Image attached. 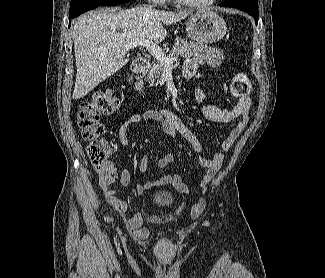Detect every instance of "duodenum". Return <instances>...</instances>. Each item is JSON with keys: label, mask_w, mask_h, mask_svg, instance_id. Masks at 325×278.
Wrapping results in <instances>:
<instances>
[{"label": "duodenum", "mask_w": 325, "mask_h": 278, "mask_svg": "<svg viewBox=\"0 0 325 278\" xmlns=\"http://www.w3.org/2000/svg\"><path fill=\"white\" fill-rule=\"evenodd\" d=\"M149 61L145 58H138L135 60L132 66L131 78L129 80V85L133 88L138 80H140L149 68Z\"/></svg>", "instance_id": "410a0bca"}]
</instances>
